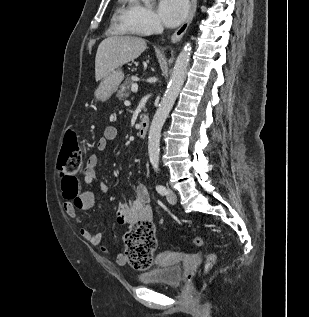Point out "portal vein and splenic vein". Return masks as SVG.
<instances>
[{"instance_id":"1","label":"portal vein and splenic vein","mask_w":309,"mask_h":317,"mask_svg":"<svg viewBox=\"0 0 309 317\" xmlns=\"http://www.w3.org/2000/svg\"><path fill=\"white\" fill-rule=\"evenodd\" d=\"M131 91L136 93L138 91V85L137 84H132Z\"/></svg>"}]
</instances>
